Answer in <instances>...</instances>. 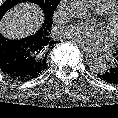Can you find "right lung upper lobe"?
<instances>
[{
  "instance_id": "obj_1",
  "label": "right lung upper lobe",
  "mask_w": 118,
  "mask_h": 118,
  "mask_svg": "<svg viewBox=\"0 0 118 118\" xmlns=\"http://www.w3.org/2000/svg\"><path fill=\"white\" fill-rule=\"evenodd\" d=\"M52 20L45 21L43 27L35 33L33 40L36 46V71L41 73L47 67V56L54 41L49 37Z\"/></svg>"
}]
</instances>
